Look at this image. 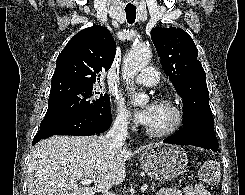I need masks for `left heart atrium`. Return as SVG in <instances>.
<instances>
[{
	"instance_id": "obj_1",
	"label": "left heart atrium",
	"mask_w": 245,
	"mask_h": 195,
	"mask_svg": "<svg viewBox=\"0 0 245 195\" xmlns=\"http://www.w3.org/2000/svg\"><path fill=\"white\" fill-rule=\"evenodd\" d=\"M156 104L155 103H149L146 106H144L143 108L137 110L135 112V117L136 120L142 124V125H147L148 122L150 121L154 110H155Z\"/></svg>"
}]
</instances>
